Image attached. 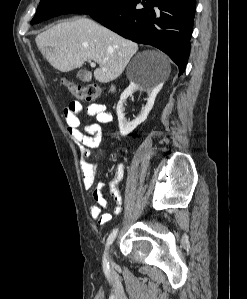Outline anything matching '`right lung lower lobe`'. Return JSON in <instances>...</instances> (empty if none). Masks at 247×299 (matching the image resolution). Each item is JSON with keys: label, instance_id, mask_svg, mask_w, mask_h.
Returning <instances> with one entry per match:
<instances>
[{"label": "right lung lower lobe", "instance_id": "1", "mask_svg": "<svg viewBox=\"0 0 247 299\" xmlns=\"http://www.w3.org/2000/svg\"><path fill=\"white\" fill-rule=\"evenodd\" d=\"M196 0H123L89 15L134 42L166 53L184 72L190 54Z\"/></svg>", "mask_w": 247, "mask_h": 299}]
</instances>
